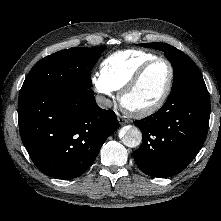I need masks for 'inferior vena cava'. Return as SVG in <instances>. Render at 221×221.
Returning a JSON list of instances; mask_svg holds the SVG:
<instances>
[{"instance_id":"inferior-vena-cava-1","label":"inferior vena cava","mask_w":221,"mask_h":221,"mask_svg":"<svg viewBox=\"0 0 221 221\" xmlns=\"http://www.w3.org/2000/svg\"><path fill=\"white\" fill-rule=\"evenodd\" d=\"M96 100L101 108H110L112 106L111 100L104 96H97Z\"/></svg>"}]
</instances>
